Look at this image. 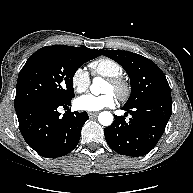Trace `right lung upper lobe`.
<instances>
[{
	"label": "right lung upper lobe",
	"instance_id": "cb5924a9",
	"mask_svg": "<svg viewBox=\"0 0 193 193\" xmlns=\"http://www.w3.org/2000/svg\"><path fill=\"white\" fill-rule=\"evenodd\" d=\"M53 46L70 48V49H73V50L78 51V52L88 53V54L94 55L95 57L101 55L100 51L97 49H89L86 47H71V46H66V45H53Z\"/></svg>",
	"mask_w": 193,
	"mask_h": 193
}]
</instances>
